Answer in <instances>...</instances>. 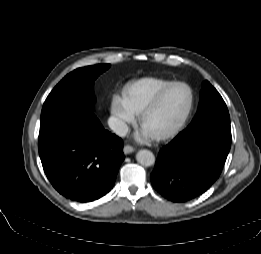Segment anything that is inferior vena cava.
<instances>
[{
    "label": "inferior vena cava",
    "instance_id": "1",
    "mask_svg": "<svg viewBox=\"0 0 261 254\" xmlns=\"http://www.w3.org/2000/svg\"><path fill=\"white\" fill-rule=\"evenodd\" d=\"M110 129L118 136H125L128 133L127 124L119 118L110 117L108 119Z\"/></svg>",
    "mask_w": 261,
    "mask_h": 254
}]
</instances>
